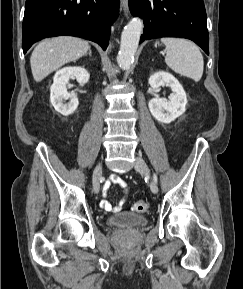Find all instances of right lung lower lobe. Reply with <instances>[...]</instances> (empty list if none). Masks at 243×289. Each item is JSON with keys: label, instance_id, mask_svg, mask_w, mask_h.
Masks as SVG:
<instances>
[{"label": "right lung lower lobe", "instance_id": "right-lung-lower-lobe-1", "mask_svg": "<svg viewBox=\"0 0 243 289\" xmlns=\"http://www.w3.org/2000/svg\"><path fill=\"white\" fill-rule=\"evenodd\" d=\"M118 0H26L22 28L24 53L46 37L71 35L108 46Z\"/></svg>", "mask_w": 243, "mask_h": 289}]
</instances>
